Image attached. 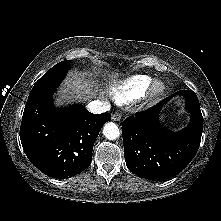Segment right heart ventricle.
I'll use <instances>...</instances> for the list:
<instances>
[{"label": "right heart ventricle", "mask_w": 221, "mask_h": 221, "mask_svg": "<svg viewBox=\"0 0 221 221\" xmlns=\"http://www.w3.org/2000/svg\"><path fill=\"white\" fill-rule=\"evenodd\" d=\"M152 76L147 74L132 75L112 87V94L117 103L126 104L141 96L148 90Z\"/></svg>", "instance_id": "e07e8e85"}]
</instances>
